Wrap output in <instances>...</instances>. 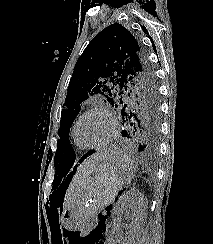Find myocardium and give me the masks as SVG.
<instances>
[{"label":"myocardium","mask_w":213,"mask_h":244,"mask_svg":"<svg viewBox=\"0 0 213 244\" xmlns=\"http://www.w3.org/2000/svg\"><path fill=\"white\" fill-rule=\"evenodd\" d=\"M92 113H101L108 119V121L110 123V133L107 136V138L104 141H102L101 143L96 144V145H87L79 139L78 134H77V128H78V125L81 122V120L84 117H86L87 115L92 114ZM117 133H118V122H117L116 118L114 117V115L112 114V112L110 111V109L103 105H98V106L91 107V108H88L87 110H85L75 120L73 127H72V136H73L74 140L78 143V145L83 149L103 148V147L107 146L108 144H110L115 139Z\"/></svg>","instance_id":"obj_1"}]
</instances>
